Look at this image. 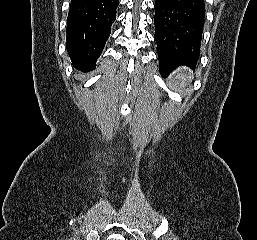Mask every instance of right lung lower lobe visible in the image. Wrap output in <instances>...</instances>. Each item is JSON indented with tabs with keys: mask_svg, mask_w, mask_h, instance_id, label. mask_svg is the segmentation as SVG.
I'll return each instance as SVG.
<instances>
[{
	"mask_svg": "<svg viewBox=\"0 0 257 240\" xmlns=\"http://www.w3.org/2000/svg\"><path fill=\"white\" fill-rule=\"evenodd\" d=\"M119 0H71L67 18V51L81 69L95 62L110 36Z\"/></svg>",
	"mask_w": 257,
	"mask_h": 240,
	"instance_id": "obj_1",
	"label": "right lung lower lobe"
}]
</instances>
